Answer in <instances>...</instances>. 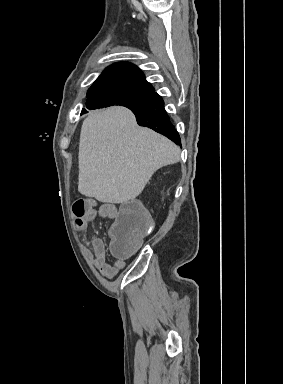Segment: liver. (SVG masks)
<instances>
[{
    "label": "liver",
    "mask_w": 283,
    "mask_h": 384,
    "mask_svg": "<svg viewBox=\"0 0 283 384\" xmlns=\"http://www.w3.org/2000/svg\"><path fill=\"white\" fill-rule=\"evenodd\" d=\"M180 148L148 128L123 106L94 110L79 142L78 192L107 204H123L143 192L154 172L180 160Z\"/></svg>",
    "instance_id": "obj_1"
}]
</instances>
